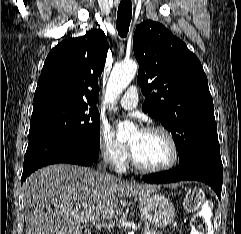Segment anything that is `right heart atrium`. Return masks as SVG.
I'll return each instance as SVG.
<instances>
[{
    "label": "right heart atrium",
    "mask_w": 241,
    "mask_h": 234,
    "mask_svg": "<svg viewBox=\"0 0 241 234\" xmlns=\"http://www.w3.org/2000/svg\"><path fill=\"white\" fill-rule=\"evenodd\" d=\"M99 152L106 163L117 170H121L127 161L128 147L117 139L112 129L101 126L98 135Z\"/></svg>",
    "instance_id": "1"
}]
</instances>
